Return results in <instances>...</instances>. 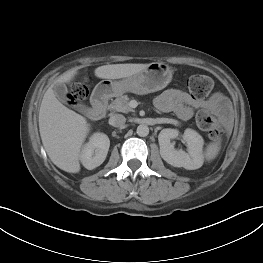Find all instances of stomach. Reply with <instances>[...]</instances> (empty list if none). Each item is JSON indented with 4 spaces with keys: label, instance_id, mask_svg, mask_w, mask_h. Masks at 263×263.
<instances>
[{
    "label": "stomach",
    "instance_id": "stomach-1",
    "mask_svg": "<svg viewBox=\"0 0 263 263\" xmlns=\"http://www.w3.org/2000/svg\"><path fill=\"white\" fill-rule=\"evenodd\" d=\"M171 80L172 70L167 64L152 62L132 76L116 81L110 79L100 81L93 95L102 98L120 96L127 92L144 95L165 88Z\"/></svg>",
    "mask_w": 263,
    "mask_h": 263
}]
</instances>
